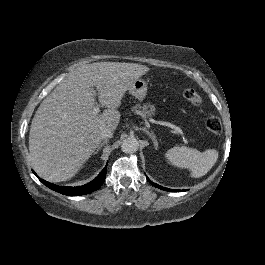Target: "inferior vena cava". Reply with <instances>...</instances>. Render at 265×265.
<instances>
[{
  "label": "inferior vena cava",
  "instance_id": "602c4592",
  "mask_svg": "<svg viewBox=\"0 0 265 265\" xmlns=\"http://www.w3.org/2000/svg\"><path fill=\"white\" fill-rule=\"evenodd\" d=\"M112 135H113V132L109 128L102 129L99 131V138L100 139L109 138V137H112Z\"/></svg>",
  "mask_w": 265,
  "mask_h": 265
}]
</instances>
